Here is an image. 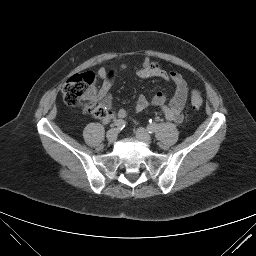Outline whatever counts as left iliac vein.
Wrapping results in <instances>:
<instances>
[{"instance_id": "1", "label": "left iliac vein", "mask_w": 256, "mask_h": 256, "mask_svg": "<svg viewBox=\"0 0 256 256\" xmlns=\"http://www.w3.org/2000/svg\"><path fill=\"white\" fill-rule=\"evenodd\" d=\"M136 138L142 142H144L147 145H150L152 143L151 136L144 128H138L135 131Z\"/></svg>"}]
</instances>
